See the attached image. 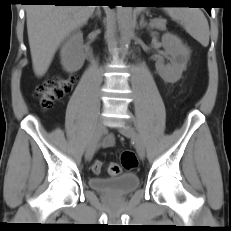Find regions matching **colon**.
Instances as JSON below:
<instances>
[{
  "label": "colon",
  "instance_id": "colon-1",
  "mask_svg": "<svg viewBox=\"0 0 231 231\" xmlns=\"http://www.w3.org/2000/svg\"><path fill=\"white\" fill-rule=\"evenodd\" d=\"M75 80L76 77L72 75L57 77L38 86L35 95L41 107L47 110L55 101L62 99L71 91ZM120 160L122 167L127 170L135 169L138 166V159L133 151L122 152ZM91 168L95 174H99L103 169V162L96 160L93 162ZM107 169L108 173L113 176L118 175L121 171L120 166L116 163L109 164Z\"/></svg>",
  "mask_w": 231,
  "mask_h": 231
}]
</instances>
